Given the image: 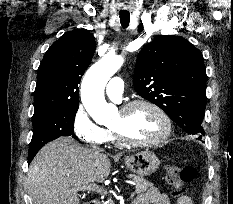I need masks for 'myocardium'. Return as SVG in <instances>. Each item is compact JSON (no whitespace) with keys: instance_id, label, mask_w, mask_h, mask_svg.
Instances as JSON below:
<instances>
[{"instance_id":"1","label":"myocardium","mask_w":233,"mask_h":204,"mask_svg":"<svg viewBox=\"0 0 233 204\" xmlns=\"http://www.w3.org/2000/svg\"><path fill=\"white\" fill-rule=\"evenodd\" d=\"M138 106L148 107L159 116L164 124L163 132L157 138L149 141H133L126 138L117 129L111 127L110 130L118 143L129 147H151L163 143L165 140H167L172 132V122L168 114L156 103L147 99H134L122 105L119 111L125 114Z\"/></svg>"}]
</instances>
